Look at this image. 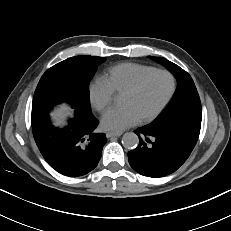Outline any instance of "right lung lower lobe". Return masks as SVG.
I'll return each instance as SVG.
<instances>
[{
  "label": "right lung lower lobe",
  "instance_id": "1",
  "mask_svg": "<svg viewBox=\"0 0 231 231\" xmlns=\"http://www.w3.org/2000/svg\"><path fill=\"white\" fill-rule=\"evenodd\" d=\"M31 120L35 142L56 171L78 177L97 166L106 137L95 132L98 121L92 114L76 113L63 129L51 125L48 112L32 115Z\"/></svg>",
  "mask_w": 231,
  "mask_h": 231
}]
</instances>
